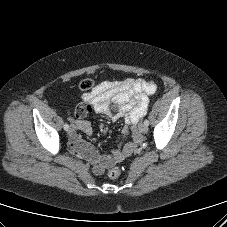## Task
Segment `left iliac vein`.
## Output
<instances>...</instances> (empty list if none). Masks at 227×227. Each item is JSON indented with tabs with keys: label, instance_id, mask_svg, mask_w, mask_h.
Segmentation results:
<instances>
[{
	"label": "left iliac vein",
	"instance_id": "left-iliac-vein-1",
	"mask_svg": "<svg viewBox=\"0 0 227 227\" xmlns=\"http://www.w3.org/2000/svg\"><path fill=\"white\" fill-rule=\"evenodd\" d=\"M139 130L141 133H146L148 131V127L145 124H140Z\"/></svg>",
	"mask_w": 227,
	"mask_h": 227
}]
</instances>
